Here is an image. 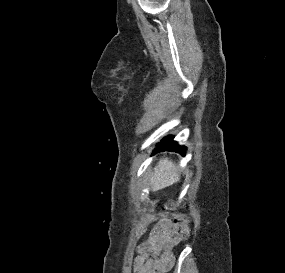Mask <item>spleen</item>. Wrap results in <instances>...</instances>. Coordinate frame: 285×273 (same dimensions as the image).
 <instances>
[{"label": "spleen", "mask_w": 285, "mask_h": 273, "mask_svg": "<svg viewBox=\"0 0 285 273\" xmlns=\"http://www.w3.org/2000/svg\"><path fill=\"white\" fill-rule=\"evenodd\" d=\"M180 180V175L175 164L168 158L160 160L154 168V175L150 180L151 189L153 191L170 186Z\"/></svg>", "instance_id": "obj_1"}]
</instances>
